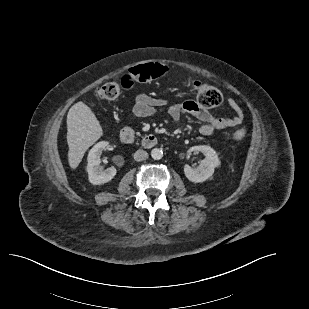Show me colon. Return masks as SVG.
I'll list each match as a JSON object with an SVG mask.
<instances>
[{
    "label": "colon",
    "mask_w": 309,
    "mask_h": 309,
    "mask_svg": "<svg viewBox=\"0 0 309 309\" xmlns=\"http://www.w3.org/2000/svg\"><path fill=\"white\" fill-rule=\"evenodd\" d=\"M168 71V67L159 63H149L135 67L125 73L118 82H109L101 86L95 92V97L99 100L112 101L116 99L123 88L131 87L134 82H150ZM196 97L198 103L203 107H216L223 101L221 92L214 86L202 82H196ZM244 129L236 130L231 138L241 140L245 137Z\"/></svg>",
    "instance_id": "obj_1"
}]
</instances>
